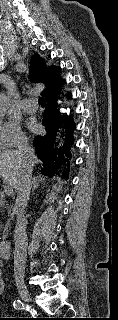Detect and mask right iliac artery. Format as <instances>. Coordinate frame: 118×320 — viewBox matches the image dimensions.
<instances>
[{
    "label": "right iliac artery",
    "instance_id": "obj_1",
    "mask_svg": "<svg viewBox=\"0 0 118 320\" xmlns=\"http://www.w3.org/2000/svg\"><path fill=\"white\" fill-rule=\"evenodd\" d=\"M13 306L17 310L23 309V303L20 300L14 301Z\"/></svg>",
    "mask_w": 118,
    "mask_h": 320
}]
</instances>
